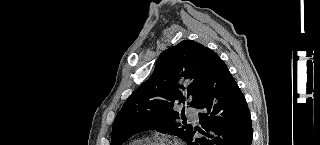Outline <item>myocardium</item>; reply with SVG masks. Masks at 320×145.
I'll return each mask as SVG.
<instances>
[{"label": "myocardium", "mask_w": 320, "mask_h": 145, "mask_svg": "<svg viewBox=\"0 0 320 145\" xmlns=\"http://www.w3.org/2000/svg\"><path fill=\"white\" fill-rule=\"evenodd\" d=\"M141 145H170V144L164 140H151V141L142 142Z\"/></svg>", "instance_id": "f54148a6"}]
</instances>
